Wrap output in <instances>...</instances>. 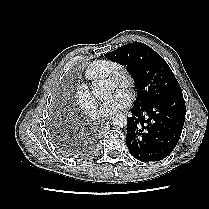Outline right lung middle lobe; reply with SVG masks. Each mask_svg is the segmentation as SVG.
I'll return each mask as SVG.
<instances>
[{
	"label": "right lung middle lobe",
	"instance_id": "right-lung-middle-lobe-1",
	"mask_svg": "<svg viewBox=\"0 0 209 209\" xmlns=\"http://www.w3.org/2000/svg\"><path fill=\"white\" fill-rule=\"evenodd\" d=\"M55 144L60 149V151L67 155H76L81 152L78 147L72 145L70 142L63 141L61 138L55 139Z\"/></svg>",
	"mask_w": 209,
	"mask_h": 209
}]
</instances>
